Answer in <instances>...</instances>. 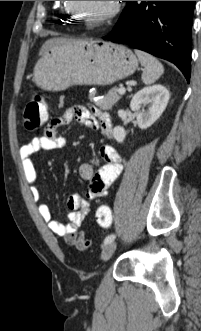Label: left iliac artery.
Listing matches in <instances>:
<instances>
[{
  "instance_id": "obj_1",
  "label": "left iliac artery",
  "mask_w": 201,
  "mask_h": 331,
  "mask_svg": "<svg viewBox=\"0 0 201 331\" xmlns=\"http://www.w3.org/2000/svg\"><path fill=\"white\" fill-rule=\"evenodd\" d=\"M115 239V235L114 234H111V235H108L105 240H104V244L107 245L111 242H113Z\"/></svg>"
}]
</instances>
